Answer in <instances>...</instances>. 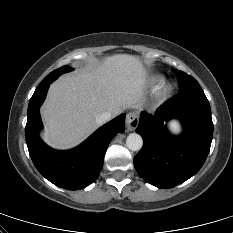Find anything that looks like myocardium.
<instances>
[{
  "instance_id": "1",
  "label": "myocardium",
  "mask_w": 233,
  "mask_h": 233,
  "mask_svg": "<svg viewBox=\"0 0 233 233\" xmlns=\"http://www.w3.org/2000/svg\"><path fill=\"white\" fill-rule=\"evenodd\" d=\"M171 87L169 84H162L160 89H159V96H164L170 91Z\"/></svg>"
}]
</instances>
